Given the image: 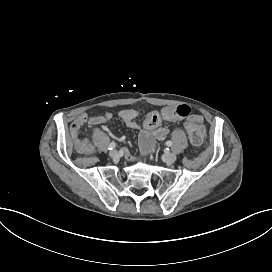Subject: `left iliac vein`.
<instances>
[{
    "instance_id": "obj_1",
    "label": "left iliac vein",
    "mask_w": 272,
    "mask_h": 272,
    "mask_svg": "<svg viewBox=\"0 0 272 272\" xmlns=\"http://www.w3.org/2000/svg\"><path fill=\"white\" fill-rule=\"evenodd\" d=\"M162 159L165 163L172 164L176 161L177 156L175 153H165Z\"/></svg>"
}]
</instances>
